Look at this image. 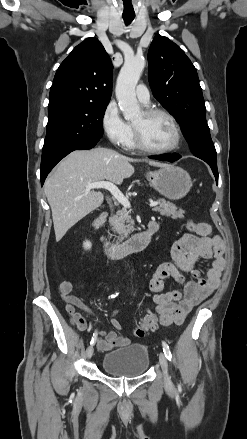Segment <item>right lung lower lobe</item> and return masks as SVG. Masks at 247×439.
Masks as SVG:
<instances>
[{
	"instance_id": "obj_1",
	"label": "right lung lower lobe",
	"mask_w": 247,
	"mask_h": 439,
	"mask_svg": "<svg viewBox=\"0 0 247 439\" xmlns=\"http://www.w3.org/2000/svg\"><path fill=\"white\" fill-rule=\"evenodd\" d=\"M96 145V143H90V144H81L76 146H71L67 148H62L56 151L48 152L44 155H42L41 160V185H43L48 173L51 171V169L66 155H68L70 152L74 150L79 149H91Z\"/></svg>"
}]
</instances>
